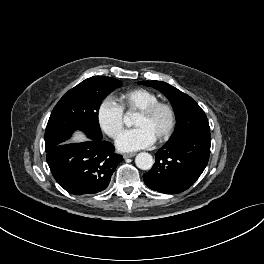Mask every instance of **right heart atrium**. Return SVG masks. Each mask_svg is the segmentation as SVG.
<instances>
[{
  "mask_svg": "<svg viewBox=\"0 0 264 264\" xmlns=\"http://www.w3.org/2000/svg\"><path fill=\"white\" fill-rule=\"evenodd\" d=\"M97 121L103 132L116 139L124 129V110L113 98H105L98 107Z\"/></svg>",
  "mask_w": 264,
  "mask_h": 264,
  "instance_id": "right-heart-atrium-1",
  "label": "right heart atrium"
}]
</instances>
